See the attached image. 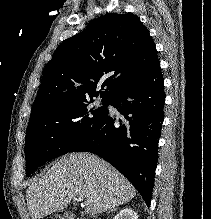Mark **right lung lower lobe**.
<instances>
[{"instance_id": "98d812e1", "label": "right lung lower lobe", "mask_w": 211, "mask_h": 219, "mask_svg": "<svg viewBox=\"0 0 211 219\" xmlns=\"http://www.w3.org/2000/svg\"><path fill=\"white\" fill-rule=\"evenodd\" d=\"M164 102V81L157 61L109 98L108 104L118 110L122 119L107 110L96 127L69 152L87 151L108 161L134 185L149 207Z\"/></svg>"}]
</instances>
